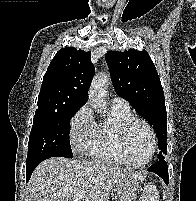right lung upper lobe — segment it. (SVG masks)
<instances>
[{"label": "right lung upper lobe", "instance_id": "obj_1", "mask_svg": "<svg viewBox=\"0 0 196 201\" xmlns=\"http://www.w3.org/2000/svg\"><path fill=\"white\" fill-rule=\"evenodd\" d=\"M94 71L90 52L74 47L60 49L43 77L38 109L66 110L83 106Z\"/></svg>", "mask_w": 196, "mask_h": 201}]
</instances>
